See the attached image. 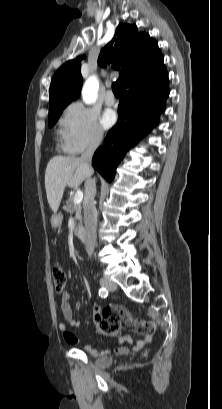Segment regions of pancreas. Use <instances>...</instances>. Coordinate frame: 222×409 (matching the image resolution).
Listing matches in <instances>:
<instances>
[{"label":"pancreas","instance_id":"pancreas-1","mask_svg":"<svg viewBox=\"0 0 222 409\" xmlns=\"http://www.w3.org/2000/svg\"><path fill=\"white\" fill-rule=\"evenodd\" d=\"M66 209L70 212V213H75V217L74 220L76 222V228H75V232L76 234L79 236L80 232L79 229L82 226V206L81 204H75L74 203V196L71 195L68 197V200L66 202Z\"/></svg>","mask_w":222,"mask_h":409}]
</instances>
